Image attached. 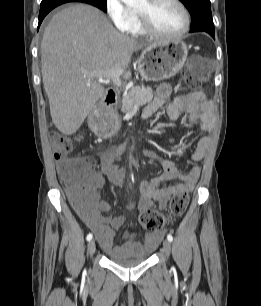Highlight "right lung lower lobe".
<instances>
[{"label":"right lung lower lobe","mask_w":261,"mask_h":306,"mask_svg":"<svg viewBox=\"0 0 261 306\" xmlns=\"http://www.w3.org/2000/svg\"><path fill=\"white\" fill-rule=\"evenodd\" d=\"M63 4V3H57V4H50V5H46V6H41L40 7V13H39V24H38V29L44 19V17L55 7H57L58 5Z\"/></svg>","instance_id":"obj_1"}]
</instances>
